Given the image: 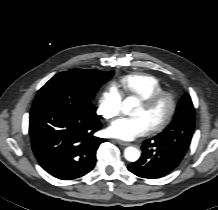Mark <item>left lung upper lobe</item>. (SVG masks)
I'll return each mask as SVG.
<instances>
[{"instance_id":"obj_1","label":"left lung upper lobe","mask_w":218,"mask_h":210,"mask_svg":"<svg viewBox=\"0 0 218 210\" xmlns=\"http://www.w3.org/2000/svg\"><path fill=\"white\" fill-rule=\"evenodd\" d=\"M195 127V110L191 98L186 93L180 100L176 114L170 125L156 138L166 142H179L189 147Z\"/></svg>"}]
</instances>
